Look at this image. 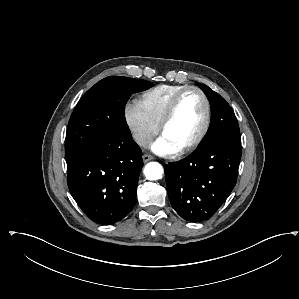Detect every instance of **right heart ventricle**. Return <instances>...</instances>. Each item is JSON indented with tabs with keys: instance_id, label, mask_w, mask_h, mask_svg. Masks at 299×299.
<instances>
[{
	"instance_id": "right-heart-ventricle-1",
	"label": "right heart ventricle",
	"mask_w": 299,
	"mask_h": 299,
	"mask_svg": "<svg viewBox=\"0 0 299 299\" xmlns=\"http://www.w3.org/2000/svg\"><path fill=\"white\" fill-rule=\"evenodd\" d=\"M186 85L162 84L145 91L137 100V103L148 118L159 126L166 108L172 98Z\"/></svg>"
}]
</instances>
